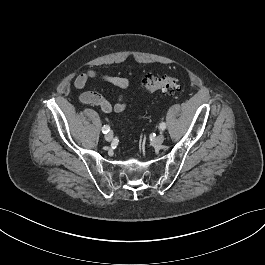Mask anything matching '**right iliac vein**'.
<instances>
[{
    "instance_id": "63e3f726",
    "label": "right iliac vein",
    "mask_w": 265,
    "mask_h": 265,
    "mask_svg": "<svg viewBox=\"0 0 265 265\" xmlns=\"http://www.w3.org/2000/svg\"><path fill=\"white\" fill-rule=\"evenodd\" d=\"M106 141H111L113 139V133L110 131L105 135Z\"/></svg>"
}]
</instances>
